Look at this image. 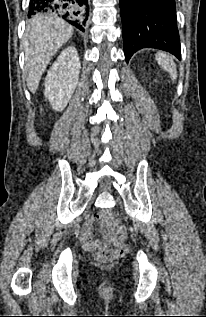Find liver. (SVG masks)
Listing matches in <instances>:
<instances>
[{"instance_id": "1", "label": "liver", "mask_w": 206, "mask_h": 317, "mask_svg": "<svg viewBox=\"0 0 206 317\" xmlns=\"http://www.w3.org/2000/svg\"><path fill=\"white\" fill-rule=\"evenodd\" d=\"M72 35L73 27L50 13L29 22L24 36L25 76L32 93L54 54Z\"/></svg>"}]
</instances>
